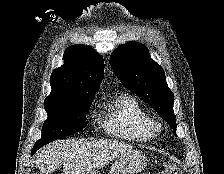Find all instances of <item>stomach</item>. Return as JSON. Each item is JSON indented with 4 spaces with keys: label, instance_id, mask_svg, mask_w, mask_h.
Instances as JSON below:
<instances>
[{
    "label": "stomach",
    "instance_id": "1",
    "mask_svg": "<svg viewBox=\"0 0 224 174\" xmlns=\"http://www.w3.org/2000/svg\"><path fill=\"white\" fill-rule=\"evenodd\" d=\"M147 162L145 154L138 150H131L121 155L111 166L110 174H136L141 171ZM87 174H101L92 170Z\"/></svg>",
    "mask_w": 224,
    "mask_h": 174
}]
</instances>
